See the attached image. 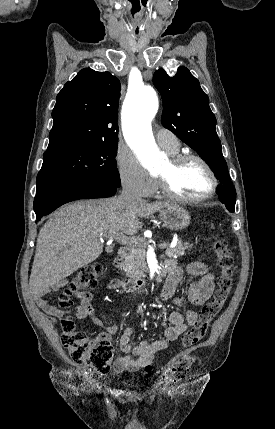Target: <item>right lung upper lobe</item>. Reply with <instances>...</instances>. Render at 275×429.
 Wrapping results in <instances>:
<instances>
[{
  "instance_id": "1",
  "label": "right lung upper lobe",
  "mask_w": 275,
  "mask_h": 429,
  "mask_svg": "<svg viewBox=\"0 0 275 429\" xmlns=\"http://www.w3.org/2000/svg\"><path fill=\"white\" fill-rule=\"evenodd\" d=\"M119 97L118 78L109 72L82 69L57 95L47 151L118 141Z\"/></svg>"
}]
</instances>
